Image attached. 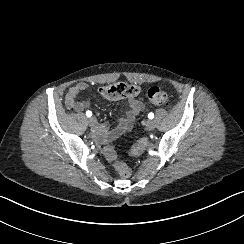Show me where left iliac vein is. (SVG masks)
Here are the masks:
<instances>
[{"instance_id":"left-iliac-vein-1","label":"left iliac vein","mask_w":244,"mask_h":244,"mask_svg":"<svg viewBox=\"0 0 244 244\" xmlns=\"http://www.w3.org/2000/svg\"><path fill=\"white\" fill-rule=\"evenodd\" d=\"M145 128H146V130H148V131H153V130L155 129V123H154V121H152V120H147V121L145 122Z\"/></svg>"}]
</instances>
